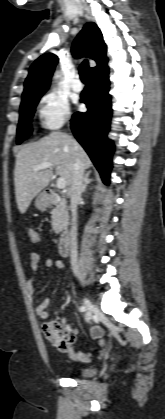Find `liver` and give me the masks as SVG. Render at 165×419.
<instances>
[{
  "label": "liver",
  "mask_w": 165,
  "mask_h": 419,
  "mask_svg": "<svg viewBox=\"0 0 165 419\" xmlns=\"http://www.w3.org/2000/svg\"><path fill=\"white\" fill-rule=\"evenodd\" d=\"M76 158L84 169L91 166L89 156L78 142L60 131L51 132L38 142L22 147L16 154L14 169L15 195L20 213L26 212L33 198L48 186L53 176L52 168L34 172L35 166L45 162L52 163L69 186Z\"/></svg>",
  "instance_id": "6515ba94"
}]
</instances>
